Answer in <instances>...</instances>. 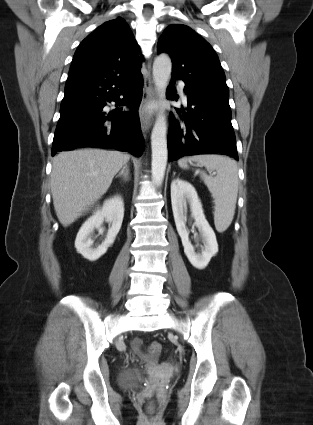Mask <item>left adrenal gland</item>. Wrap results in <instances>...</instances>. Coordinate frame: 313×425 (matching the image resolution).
I'll return each mask as SVG.
<instances>
[{
	"instance_id": "obj_1",
	"label": "left adrenal gland",
	"mask_w": 313,
	"mask_h": 425,
	"mask_svg": "<svg viewBox=\"0 0 313 425\" xmlns=\"http://www.w3.org/2000/svg\"><path fill=\"white\" fill-rule=\"evenodd\" d=\"M176 172H173V176H175Z\"/></svg>"
}]
</instances>
